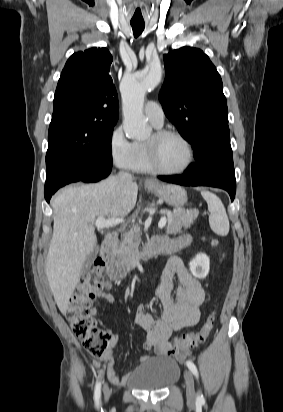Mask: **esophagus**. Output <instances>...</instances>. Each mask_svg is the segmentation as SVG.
I'll use <instances>...</instances> for the list:
<instances>
[{
    "mask_svg": "<svg viewBox=\"0 0 283 412\" xmlns=\"http://www.w3.org/2000/svg\"><path fill=\"white\" fill-rule=\"evenodd\" d=\"M155 184H156V181H155L154 179H151V178L145 179V185H147V186H153V185H155Z\"/></svg>",
    "mask_w": 283,
    "mask_h": 412,
    "instance_id": "34e87169",
    "label": "esophagus"
}]
</instances>
